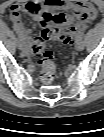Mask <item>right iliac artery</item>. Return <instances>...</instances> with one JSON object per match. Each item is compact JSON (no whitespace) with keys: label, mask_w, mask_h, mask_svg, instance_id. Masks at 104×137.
<instances>
[{"label":"right iliac artery","mask_w":104,"mask_h":137,"mask_svg":"<svg viewBox=\"0 0 104 137\" xmlns=\"http://www.w3.org/2000/svg\"><path fill=\"white\" fill-rule=\"evenodd\" d=\"M16 33L18 34V38L21 40V41H23L24 40V38H23V36L16 30Z\"/></svg>","instance_id":"right-iliac-artery-1"}]
</instances>
